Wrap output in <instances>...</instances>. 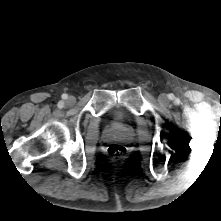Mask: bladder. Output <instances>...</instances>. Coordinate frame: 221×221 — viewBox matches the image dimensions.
Masks as SVG:
<instances>
[{"label":"bladder","instance_id":"1","mask_svg":"<svg viewBox=\"0 0 221 221\" xmlns=\"http://www.w3.org/2000/svg\"><path fill=\"white\" fill-rule=\"evenodd\" d=\"M111 115L114 117V118H117V119H124L127 117V114L126 112L120 108V107H114L112 110H111Z\"/></svg>","mask_w":221,"mask_h":221}]
</instances>
